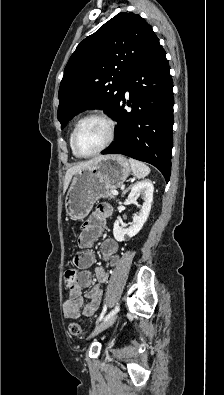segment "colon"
Listing matches in <instances>:
<instances>
[{
	"label": "colon",
	"instance_id": "colon-1",
	"mask_svg": "<svg viewBox=\"0 0 224 395\" xmlns=\"http://www.w3.org/2000/svg\"><path fill=\"white\" fill-rule=\"evenodd\" d=\"M64 281H65V284L68 288H71V289L74 288V286H75V270L74 269H68L65 272ZM68 329H69V333L75 337H83L85 334L83 327L77 322L70 323Z\"/></svg>",
	"mask_w": 224,
	"mask_h": 395
}]
</instances>
